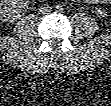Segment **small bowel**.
<instances>
[{"label": "small bowel", "mask_w": 111, "mask_h": 106, "mask_svg": "<svg viewBox=\"0 0 111 106\" xmlns=\"http://www.w3.org/2000/svg\"><path fill=\"white\" fill-rule=\"evenodd\" d=\"M85 2L95 3V2H99V1H97V0H96V1H88V0H87V1H85Z\"/></svg>", "instance_id": "1"}]
</instances>
